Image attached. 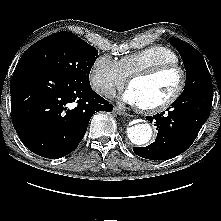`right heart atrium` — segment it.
Masks as SVG:
<instances>
[{
	"label": "right heart atrium",
	"instance_id": "right-heart-atrium-1",
	"mask_svg": "<svg viewBox=\"0 0 221 221\" xmlns=\"http://www.w3.org/2000/svg\"><path fill=\"white\" fill-rule=\"evenodd\" d=\"M127 77L121 71L118 61L108 55L98 56L89 71L91 87L98 93L108 95L126 83Z\"/></svg>",
	"mask_w": 221,
	"mask_h": 221
}]
</instances>
